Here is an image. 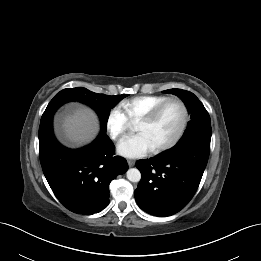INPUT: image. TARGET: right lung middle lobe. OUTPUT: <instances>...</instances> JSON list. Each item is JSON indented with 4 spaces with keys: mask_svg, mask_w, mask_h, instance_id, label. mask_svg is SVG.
<instances>
[{
    "mask_svg": "<svg viewBox=\"0 0 261 261\" xmlns=\"http://www.w3.org/2000/svg\"><path fill=\"white\" fill-rule=\"evenodd\" d=\"M127 96L128 94L116 96L97 94L82 87L63 89L50 101L41 119L53 116L54 112L66 102L79 101L91 106L97 112L102 131L106 132L110 110Z\"/></svg>",
    "mask_w": 261,
    "mask_h": 261,
    "instance_id": "1",
    "label": "right lung middle lobe"
}]
</instances>
